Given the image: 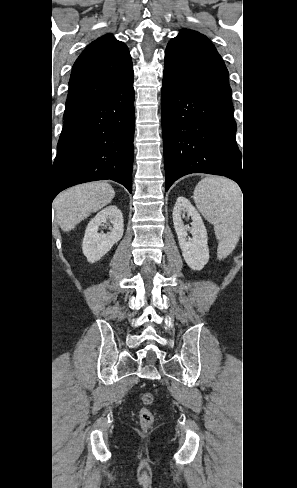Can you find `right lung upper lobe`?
<instances>
[{
    "label": "right lung upper lobe",
    "mask_w": 297,
    "mask_h": 488,
    "mask_svg": "<svg viewBox=\"0 0 297 488\" xmlns=\"http://www.w3.org/2000/svg\"><path fill=\"white\" fill-rule=\"evenodd\" d=\"M130 75L133 68L127 46L112 34L98 38L73 65L64 114L105 94Z\"/></svg>",
    "instance_id": "cb5924a9"
}]
</instances>
